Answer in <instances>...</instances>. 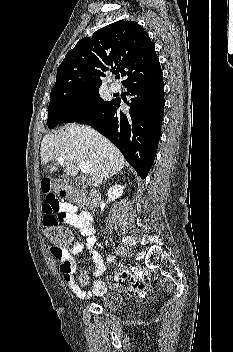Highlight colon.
<instances>
[{"instance_id":"1","label":"colon","mask_w":233,"mask_h":352,"mask_svg":"<svg viewBox=\"0 0 233 352\" xmlns=\"http://www.w3.org/2000/svg\"><path fill=\"white\" fill-rule=\"evenodd\" d=\"M64 196L68 195L66 192ZM71 199L87 205L84 196L78 193L69 194ZM45 236L52 246L59 249H68L71 244V233L66 228L58 225L56 222H48L44 224ZM89 281V273L84 270L79 275V287L82 288ZM115 281L122 284L125 289L133 294L145 296L152 290L149 282L135 276L128 268H120L115 276Z\"/></svg>"}]
</instances>
